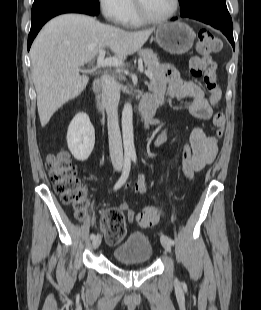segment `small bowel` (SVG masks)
<instances>
[{
	"label": "small bowel",
	"mask_w": 261,
	"mask_h": 310,
	"mask_svg": "<svg viewBox=\"0 0 261 310\" xmlns=\"http://www.w3.org/2000/svg\"><path fill=\"white\" fill-rule=\"evenodd\" d=\"M153 95L161 101L166 97L180 100H188L186 107L188 112L198 119H208L212 109L205 98L204 91L195 82L182 79L178 72L170 65L163 64L156 69L155 79L151 83ZM149 125H158L156 121H150ZM166 139V130L162 129L155 140V145L159 146ZM190 146L192 148V169L199 171L210 164L218 152V140L215 137L207 136L201 128H194L190 134ZM137 188L147 191V184L143 175L138 177ZM119 210L126 213L127 220H136L135 212L129 204L122 203ZM105 213H103L104 215Z\"/></svg>",
	"instance_id": "1"
}]
</instances>
